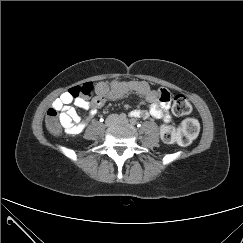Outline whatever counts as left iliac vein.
Returning a JSON list of instances; mask_svg holds the SVG:
<instances>
[{"mask_svg": "<svg viewBox=\"0 0 243 243\" xmlns=\"http://www.w3.org/2000/svg\"><path fill=\"white\" fill-rule=\"evenodd\" d=\"M119 121H120V122H124V123H127V122H128L127 119H120Z\"/></svg>", "mask_w": 243, "mask_h": 243, "instance_id": "obj_1", "label": "left iliac vein"}]
</instances>
